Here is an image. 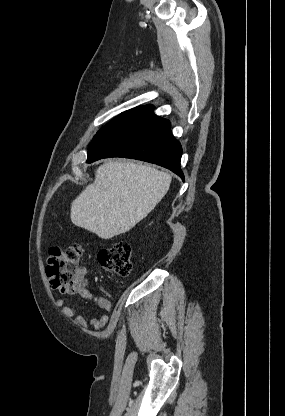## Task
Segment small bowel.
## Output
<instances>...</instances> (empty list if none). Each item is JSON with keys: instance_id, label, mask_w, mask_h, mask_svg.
Here are the masks:
<instances>
[{"instance_id": "c3829d8e", "label": "small bowel", "mask_w": 285, "mask_h": 416, "mask_svg": "<svg viewBox=\"0 0 285 416\" xmlns=\"http://www.w3.org/2000/svg\"><path fill=\"white\" fill-rule=\"evenodd\" d=\"M83 272L85 275V269ZM78 294L81 298L94 302L100 309L106 312L111 310L112 305L110 300L104 296L95 295L86 285L78 291ZM56 304L61 307L62 312L66 317L71 319L73 323L80 326L84 330H88L89 325H91L95 330H100L108 322V315L106 313H102L97 317L86 318L79 315L76 308L66 305V302L63 299L57 300Z\"/></svg>"}]
</instances>
